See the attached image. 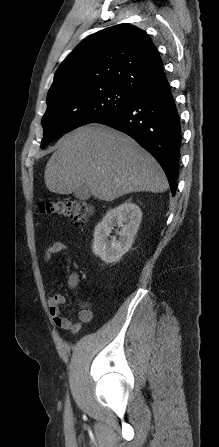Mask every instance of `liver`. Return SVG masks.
<instances>
[{
    "mask_svg": "<svg viewBox=\"0 0 219 447\" xmlns=\"http://www.w3.org/2000/svg\"><path fill=\"white\" fill-rule=\"evenodd\" d=\"M52 193L68 195L85 184L93 197L112 201L132 192H164L166 175L131 137L91 124L65 134L45 169Z\"/></svg>",
    "mask_w": 219,
    "mask_h": 447,
    "instance_id": "6515ba94",
    "label": "liver"
}]
</instances>
